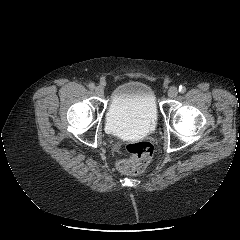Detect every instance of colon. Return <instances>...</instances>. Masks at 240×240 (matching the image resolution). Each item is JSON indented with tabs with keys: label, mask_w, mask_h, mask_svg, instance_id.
<instances>
[{
	"label": "colon",
	"mask_w": 240,
	"mask_h": 240,
	"mask_svg": "<svg viewBox=\"0 0 240 240\" xmlns=\"http://www.w3.org/2000/svg\"><path fill=\"white\" fill-rule=\"evenodd\" d=\"M124 150L128 154V157L121 159L117 167L119 171L130 175L142 173L154 155L153 145L146 141L128 143L124 146Z\"/></svg>",
	"instance_id": "1"
}]
</instances>
